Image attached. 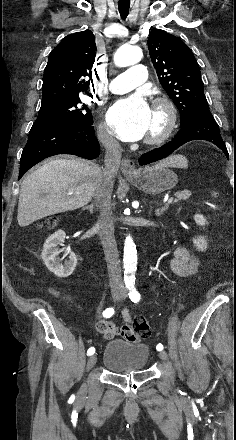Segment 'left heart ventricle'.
<instances>
[{"mask_svg":"<svg viewBox=\"0 0 236 440\" xmlns=\"http://www.w3.org/2000/svg\"><path fill=\"white\" fill-rule=\"evenodd\" d=\"M161 122H162V118L161 115L157 112H152V119H151V124L150 127L148 129L147 134L152 133L156 130H158L161 126Z\"/></svg>","mask_w":236,"mask_h":440,"instance_id":"b2bd125f","label":"left heart ventricle"}]
</instances>
